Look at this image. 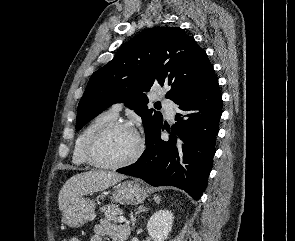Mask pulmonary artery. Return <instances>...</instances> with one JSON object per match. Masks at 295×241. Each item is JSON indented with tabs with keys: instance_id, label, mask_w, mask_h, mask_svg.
I'll return each instance as SVG.
<instances>
[{
	"instance_id": "1",
	"label": "pulmonary artery",
	"mask_w": 295,
	"mask_h": 241,
	"mask_svg": "<svg viewBox=\"0 0 295 241\" xmlns=\"http://www.w3.org/2000/svg\"><path fill=\"white\" fill-rule=\"evenodd\" d=\"M163 107L165 108L166 114L169 119H173L175 112H176V106L175 104L169 100V99H163L162 100ZM122 108L121 104H114L111 108L110 111H112L114 114L118 115Z\"/></svg>"
}]
</instances>
